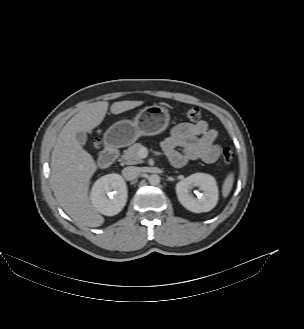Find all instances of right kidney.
Here are the masks:
<instances>
[{
    "instance_id": "ca27d5eb",
    "label": "right kidney",
    "mask_w": 304,
    "mask_h": 329,
    "mask_svg": "<svg viewBox=\"0 0 304 329\" xmlns=\"http://www.w3.org/2000/svg\"><path fill=\"white\" fill-rule=\"evenodd\" d=\"M109 196V197H108ZM127 186L119 174H107L93 184L91 202L94 208L106 216L118 214L127 201Z\"/></svg>"
}]
</instances>
